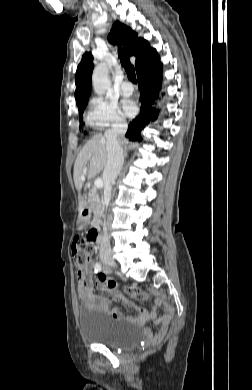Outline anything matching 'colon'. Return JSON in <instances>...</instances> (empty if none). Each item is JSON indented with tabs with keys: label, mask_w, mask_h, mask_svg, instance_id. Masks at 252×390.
Listing matches in <instances>:
<instances>
[{
	"label": "colon",
	"mask_w": 252,
	"mask_h": 390,
	"mask_svg": "<svg viewBox=\"0 0 252 390\" xmlns=\"http://www.w3.org/2000/svg\"><path fill=\"white\" fill-rule=\"evenodd\" d=\"M94 232L89 229L86 237H75L72 242L73 262L78 272L83 271L90 263L93 254Z\"/></svg>",
	"instance_id": "colon-1"
}]
</instances>
